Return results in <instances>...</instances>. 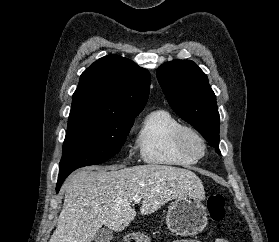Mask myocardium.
I'll return each instance as SVG.
<instances>
[{
	"label": "myocardium",
	"mask_w": 279,
	"mask_h": 242,
	"mask_svg": "<svg viewBox=\"0 0 279 242\" xmlns=\"http://www.w3.org/2000/svg\"><path fill=\"white\" fill-rule=\"evenodd\" d=\"M176 143L179 150L186 156L195 160L201 159L207 149L205 138L196 129L190 126H181L176 133ZM196 143L199 149H195Z\"/></svg>",
	"instance_id": "obj_1"
}]
</instances>
